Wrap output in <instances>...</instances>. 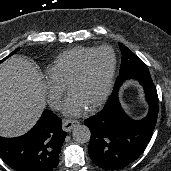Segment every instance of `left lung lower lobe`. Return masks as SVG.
Listing matches in <instances>:
<instances>
[{
  "instance_id": "1",
  "label": "left lung lower lobe",
  "mask_w": 171,
  "mask_h": 171,
  "mask_svg": "<svg viewBox=\"0 0 171 171\" xmlns=\"http://www.w3.org/2000/svg\"><path fill=\"white\" fill-rule=\"evenodd\" d=\"M149 104L147 116L133 120L123 111L118 95L96 116L85 120L90 128L88 147L92 161L106 170H119L132 163L149 143L158 117V95L152 83L143 85Z\"/></svg>"
}]
</instances>
